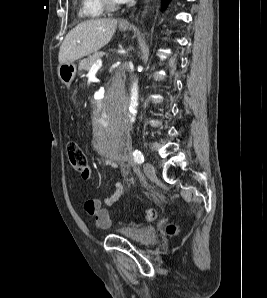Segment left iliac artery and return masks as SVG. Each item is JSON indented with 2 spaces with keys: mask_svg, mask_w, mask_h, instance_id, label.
<instances>
[{
  "mask_svg": "<svg viewBox=\"0 0 267 298\" xmlns=\"http://www.w3.org/2000/svg\"><path fill=\"white\" fill-rule=\"evenodd\" d=\"M133 156H134L135 162L138 163V164H142L145 160L142 152L139 151V150H135L133 152Z\"/></svg>",
  "mask_w": 267,
  "mask_h": 298,
  "instance_id": "obj_1",
  "label": "left iliac artery"
}]
</instances>
